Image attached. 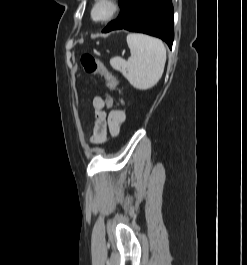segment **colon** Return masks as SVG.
<instances>
[{"label": "colon", "mask_w": 247, "mask_h": 265, "mask_svg": "<svg viewBox=\"0 0 247 265\" xmlns=\"http://www.w3.org/2000/svg\"><path fill=\"white\" fill-rule=\"evenodd\" d=\"M81 64L85 72L88 74L99 75L106 79L108 88L113 91L118 86V80L108 71V69L93 56L84 54L81 57ZM104 102L106 108L112 107L114 99L110 93L104 95Z\"/></svg>", "instance_id": "colon-1"}]
</instances>
